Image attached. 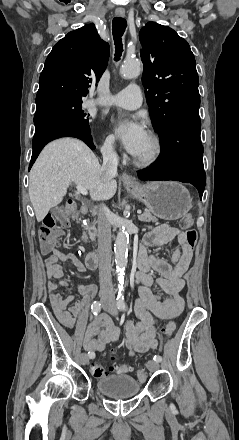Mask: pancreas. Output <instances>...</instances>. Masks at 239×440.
<instances>
[{
  "instance_id": "cf45deb5",
  "label": "pancreas",
  "mask_w": 239,
  "mask_h": 440,
  "mask_svg": "<svg viewBox=\"0 0 239 440\" xmlns=\"http://www.w3.org/2000/svg\"><path fill=\"white\" fill-rule=\"evenodd\" d=\"M139 220H141V222H158V218L152 216L150 210H144L142 216H139ZM89 230H91V232H89V236L91 240H94L97 234L96 222H92V224H90Z\"/></svg>"
}]
</instances>
